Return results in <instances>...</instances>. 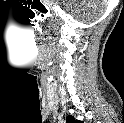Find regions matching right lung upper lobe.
<instances>
[{"label":"right lung upper lobe","mask_w":124,"mask_h":123,"mask_svg":"<svg viewBox=\"0 0 124 123\" xmlns=\"http://www.w3.org/2000/svg\"><path fill=\"white\" fill-rule=\"evenodd\" d=\"M80 121L75 120V118L71 115L67 116L66 123H78Z\"/></svg>","instance_id":"right-lung-upper-lobe-1"}]
</instances>
